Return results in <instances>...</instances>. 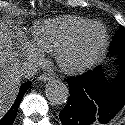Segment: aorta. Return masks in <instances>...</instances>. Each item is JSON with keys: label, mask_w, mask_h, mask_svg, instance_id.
I'll list each match as a JSON object with an SVG mask.
<instances>
[{"label": "aorta", "mask_w": 125, "mask_h": 125, "mask_svg": "<svg viewBox=\"0 0 125 125\" xmlns=\"http://www.w3.org/2000/svg\"><path fill=\"white\" fill-rule=\"evenodd\" d=\"M45 93L53 105H62L67 102L69 97L67 85L59 80L50 81L46 86Z\"/></svg>", "instance_id": "obj_1"}]
</instances>
